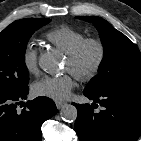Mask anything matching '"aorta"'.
Instances as JSON below:
<instances>
[{"label":"aorta","instance_id":"762f6f07","mask_svg":"<svg viewBox=\"0 0 141 141\" xmlns=\"http://www.w3.org/2000/svg\"><path fill=\"white\" fill-rule=\"evenodd\" d=\"M40 67L47 73L54 74L58 71V60L52 53H45L39 58ZM61 118L66 122H74L77 118L75 106L66 104L60 111Z\"/></svg>","mask_w":141,"mask_h":141}]
</instances>
